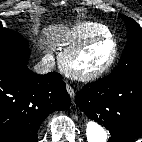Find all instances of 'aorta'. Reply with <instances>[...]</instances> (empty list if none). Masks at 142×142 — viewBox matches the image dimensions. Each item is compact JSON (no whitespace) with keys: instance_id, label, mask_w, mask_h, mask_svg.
<instances>
[{"instance_id":"obj_1","label":"aorta","mask_w":142,"mask_h":142,"mask_svg":"<svg viewBox=\"0 0 142 142\" xmlns=\"http://www.w3.org/2000/svg\"><path fill=\"white\" fill-rule=\"evenodd\" d=\"M86 136L88 142H106L108 134L106 130L94 120L86 123Z\"/></svg>"}]
</instances>
